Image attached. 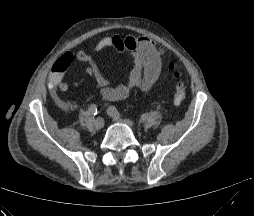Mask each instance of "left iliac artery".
I'll list each match as a JSON object with an SVG mask.
<instances>
[{
	"mask_svg": "<svg viewBox=\"0 0 254 216\" xmlns=\"http://www.w3.org/2000/svg\"><path fill=\"white\" fill-rule=\"evenodd\" d=\"M108 111L111 112V113H113V114L116 115V116H123V115L119 112V110H118L116 107H114V106H110V107L108 108Z\"/></svg>",
	"mask_w": 254,
	"mask_h": 216,
	"instance_id": "left-iliac-artery-1",
	"label": "left iliac artery"
}]
</instances>
